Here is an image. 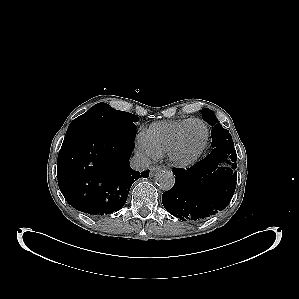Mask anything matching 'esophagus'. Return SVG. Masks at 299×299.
Masks as SVG:
<instances>
[{"mask_svg": "<svg viewBox=\"0 0 299 299\" xmlns=\"http://www.w3.org/2000/svg\"><path fill=\"white\" fill-rule=\"evenodd\" d=\"M163 167L161 166H154L150 169V177H153L156 172L161 171Z\"/></svg>", "mask_w": 299, "mask_h": 299, "instance_id": "1", "label": "esophagus"}]
</instances>
